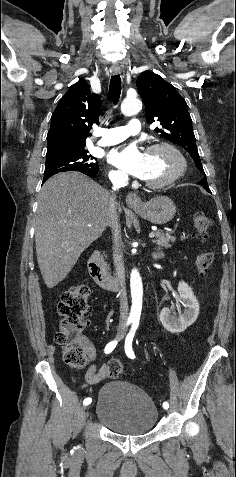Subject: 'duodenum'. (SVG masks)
Wrapping results in <instances>:
<instances>
[{"instance_id":"obj_1","label":"duodenum","mask_w":236,"mask_h":477,"mask_svg":"<svg viewBox=\"0 0 236 477\" xmlns=\"http://www.w3.org/2000/svg\"><path fill=\"white\" fill-rule=\"evenodd\" d=\"M88 271L93 281L101 288L119 291L120 283L118 279L109 276L104 270L100 254L95 251L88 261Z\"/></svg>"}]
</instances>
